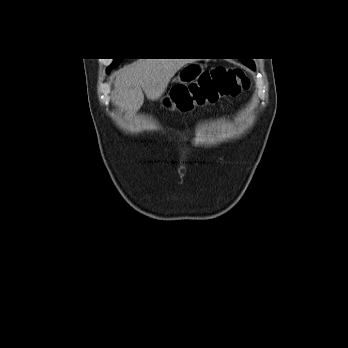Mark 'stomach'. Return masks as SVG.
Here are the masks:
<instances>
[{
    "mask_svg": "<svg viewBox=\"0 0 348 348\" xmlns=\"http://www.w3.org/2000/svg\"><path fill=\"white\" fill-rule=\"evenodd\" d=\"M202 72V66L196 63L184 66L177 76V86L187 87L189 84L194 83ZM208 103H210L209 100L204 96L198 97L196 95L195 97H193V95L190 93L189 97L187 98L185 103L181 105L180 109L184 112H191L197 105H207Z\"/></svg>",
    "mask_w": 348,
    "mask_h": 348,
    "instance_id": "1",
    "label": "stomach"
}]
</instances>
